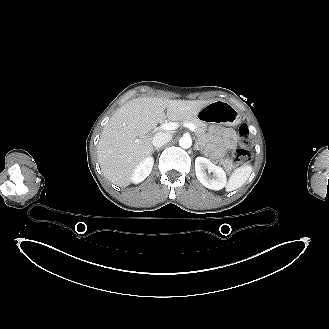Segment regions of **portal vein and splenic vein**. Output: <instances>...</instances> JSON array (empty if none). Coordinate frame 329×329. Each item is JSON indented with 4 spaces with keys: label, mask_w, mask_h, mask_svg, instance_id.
<instances>
[{
    "label": "portal vein and splenic vein",
    "mask_w": 329,
    "mask_h": 329,
    "mask_svg": "<svg viewBox=\"0 0 329 329\" xmlns=\"http://www.w3.org/2000/svg\"><path fill=\"white\" fill-rule=\"evenodd\" d=\"M185 126L187 128H189L192 132H195L196 131V127L191 124V123H186ZM179 127V124L178 123H175V122H170V123H165L161 126V129L164 130V131H172V130H175Z\"/></svg>",
    "instance_id": "obj_1"
}]
</instances>
